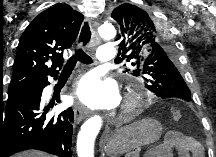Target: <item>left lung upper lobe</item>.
Masks as SVG:
<instances>
[{
	"instance_id": "obj_1",
	"label": "left lung upper lobe",
	"mask_w": 216,
	"mask_h": 157,
	"mask_svg": "<svg viewBox=\"0 0 216 157\" xmlns=\"http://www.w3.org/2000/svg\"><path fill=\"white\" fill-rule=\"evenodd\" d=\"M111 17L119 24L116 41L123 59L134 68L133 75L142 74L146 88L161 99L190 102L191 91L181 76L184 69L177 64V48L162 19L129 3L116 7Z\"/></svg>"
}]
</instances>
